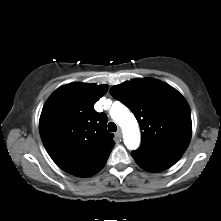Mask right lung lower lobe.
Segmentation results:
<instances>
[{
    "mask_svg": "<svg viewBox=\"0 0 221 221\" xmlns=\"http://www.w3.org/2000/svg\"><path fill=\"white\" fill-rule=\"evenodd\" d=\"M104 165H105V164H104ZM104 165L101 166L100 168H98L97 170H95V171H93V172H91V173H88V174H86V175H84V176H82V177H88V176H92V175L96 174L97 172H99V171L104 167Z\"/></svg>",
    "mask_w": 221,
    "mask_h": 221,
    "instance_id": "obj_1",
    "label": "right lung lower lobe"
}]
</instances>
